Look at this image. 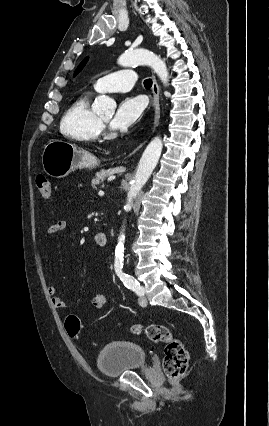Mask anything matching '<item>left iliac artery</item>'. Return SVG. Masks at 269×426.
I'll return each instance as SVG.
<instances>
[{
  "instance_id": "1",
  "label": "left iliac artery",
  "mask_w": 269,
  "mask_h": 426,
  "mask_svg": "<svg viewBox=\"0 0 269 426\" xmlns=\"http://www.w3.org/2000/svg\"><path fill=\"white\" fill-rule=\"evenodd\" d=\"M115 271L121 281L124 283V285L128 288L133 290L137 295L143 296L144 295V288L141 287L138 283V281L128 274H125L122 272V267H116Z\"/></svg>"
}]
</instances>
